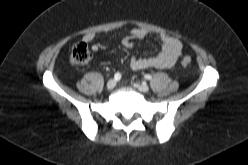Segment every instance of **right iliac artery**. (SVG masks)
<instances>
[{
  "mask_svg": "<svg viewBox=\"0 0 248 165\" xmlns=\"http://www.w3.org/2000/svg\"><path fill=\"white\" fill-rule=\"evenodd\" d=\"M114 79L117 80V81L120 80L121 79V74L119 72L115 73Z\"/></svg>",
  "mask_w": 248,
  "mask_h": 165,
  "instance_id": "1",
  "label": "right iliac artery"
}]
</instances>
